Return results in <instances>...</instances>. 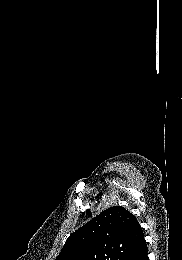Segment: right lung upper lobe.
<instances>
[{"instance_id": "obj_1", "label": "right lung upper lobe", "mask_w": 182, "mask_h": 260, "mask_svg": "<svg viewBox=\"0 0 182 260\" xmlns=\"http://www.w3.org/2000/svg\"><path fill=\"white\" fill-rule=\"evenodd\" d=\"M145 244L136 217L114 206L71 234L56 260H127Z\"/></svg>"}]
</instances>
